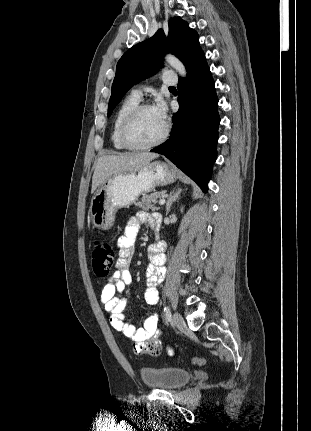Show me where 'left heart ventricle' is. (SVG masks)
<instances>
[{
  "mask_svg": "<svg viewBox=\"0 0 311 431\" xmlns=\"http://www.w3.org/2000/svg\"><path fill=\"white\" fill-rule=\"evenodd\" d=\"M163 123L152 108L143 112L133 126L132 136L140 143H147L158 138L164 131Z\"/></svg>",
  "mask_w": 311,
  "mask_h": 431,
  "instance_id": "b2bd125f",
  "label": "left heart ventricle"
}]
</instances>
